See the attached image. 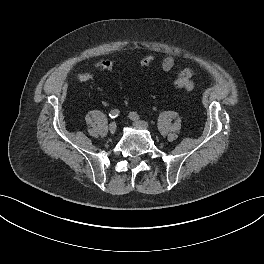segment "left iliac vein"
<instances>
[{
    "instance_id": "4c4485c4",
    "label": "left iliac vein",
    "mask_w": 264,
    "mask_h": 264,
    "mask_svg": "<svg viewBox=\"0 0 264 264\" xmlns=\"http://www.w3.org/2000/svg\"><path fill=\"white\" fill-rule=\"evenodd\" d=\"M134 121V126L140 129H149V125L142 120H137V119H133Z\"/></svg>"
}]
</instances>
